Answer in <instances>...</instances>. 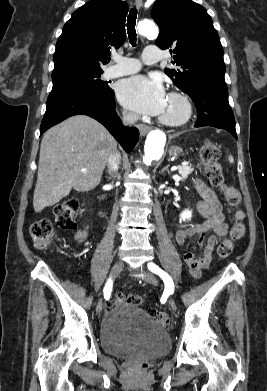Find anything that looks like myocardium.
<instances>
[{
    "label": "myocardium",
    "mask_w": 267,
    "mask_h": 391,
    "mask_svg": "<svg viewBox=\"0 0 267 391\" xmlns=\"http://www.w3.org/2000/svg\"><path fill=\"white\" fill-rule=\"evenodd\" d=\"M168 98L175 99L179 101L183 107L182 114L177 118H168L165 116H160L159 121L170 127H179L185 125L192 117L193 114V106L188 98L184 93L179 91H173L168 94Z\"/></svg>",
    "instance_id": "f54148a6"
}]
</instances>
